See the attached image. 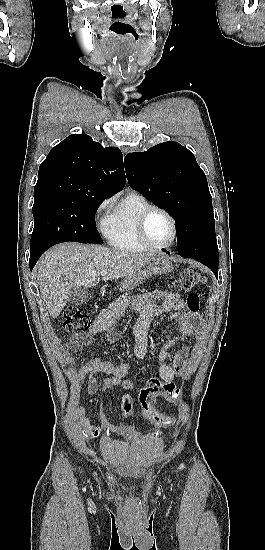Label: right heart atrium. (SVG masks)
<instances>
[{"mask_svg": "<svg viewBox=\"0 0 265 550\" xmlns=\"http://www.w3.org/2000/svg\"><path fill=\"white\" fill-rule=\"evenodd\" d=\"M109 203H110L109 199H106V200L102 201L99 204L98 208H97V214L98 215L101 214L106 209V207L109 205Z\"/></svg>", "mask_w": 265, "mask_h": 550, "instance_id": "obj_1", "label": "right heart atrium"}]
</instances>
